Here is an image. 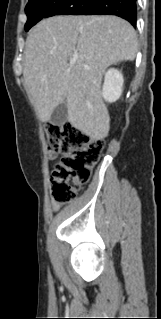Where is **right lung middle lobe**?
Segmentation results:
<instances>
[{
  "instance_id": "1",
  "label": "right lung middle lobe",
  "mask_w": 161,
  "mask_h": 319,
  "mask_svg": "<svg viewBox=\"0 0 161 319\" xmlns=\"http://www.w3.org/2000/svg\"><path fill=\"white\" fill-rule=\"evenodd\" d=\"M87 1L88 0H29L25 8L27 14L25 30L28 31L43 18L54 15H71L81 9Z\"/></svg>"
}]
</instances>
